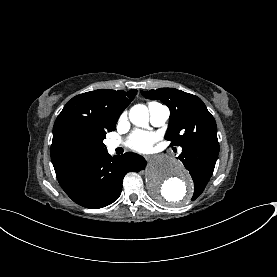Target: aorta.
Instances as JSON below:
<instances>
[{
    "mask_svg": "<svg viewBox=\"0 0 277 277\" xmlns=\"http://www.w3.org/2000/svg\"><path fill=\"white\" fill-rule=\"evenodd\" d=\"M130 121L139 127H146L149 121L148 109L138 104L131 108ZM147 187L159 203L184 205L192 196V180L183 164L168 155L153 157L145 171Z\"/></svg>",
    "mask_w": 277,
    "mask_h": 277,
    "instance_id": "1",
    "label": "aorta"
}]
</instances>
